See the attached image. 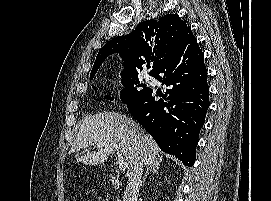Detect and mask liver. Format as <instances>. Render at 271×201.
Listing matches in <instances>:
<instances>
[{"label": "liver", "mask_w": 271, "mask_h": 201, "mask_svg": "<svg viewBox=\"0 0 271 201\" xmlns=\"http://www.w3.org/2000/svg\"><path fill=\"white\" fill-rule=\"evenodd\" d=\"M89 146L97 151L80 156V163L98 165L106 161L111 152L118 151L128 164L126 177L134 173L140 158L144 165L162 160L155 140L133 119L117 112H100L84 118L70 152Z\"/></svg>", "instance_id": "1"}]
</instances>
